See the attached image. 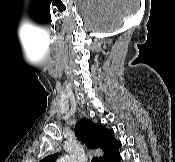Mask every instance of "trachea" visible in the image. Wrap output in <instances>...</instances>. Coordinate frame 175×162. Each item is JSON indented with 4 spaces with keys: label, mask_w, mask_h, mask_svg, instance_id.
<instances>
[{
    "label": "trachea",
    "mask_w": 175,
    "mask_h": 162,
    "mask_svg": "<svg viewBox=\"0 0 175 162\" xmlns=\"http://www.w3.org/2000/svg\"><path fill=\"white\" fill-rule=\"evenodd\" d=\"M91 162H98V158L97 157L92 158Z\"/></svg>",
    "instance_id": "obj_1"
}]
</instances>
